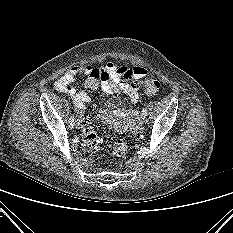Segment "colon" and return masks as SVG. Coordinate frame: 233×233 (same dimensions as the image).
Returning a JSON list of instances; mask_svg holds the SVG:
<instances>
[{"instance_id": "1", "label": "colon", "mask_w": 233, "mask_h": 233, "mask_svg": "<svg viewBox=\"0 0 233 233\" xmlns=\"http://www.w3.org/2000/svg\"><path fill=\"white\" fill-rule=\"evenodd\" d=\"M108 79L107 74L98 68H94L85 81V87L89 91L96 90L104 81ZM144 91L147 95H154L159 89V82L150 77L140 79ZM83 136L87 150L90 154L95 155L100 149V139L96 133L93 120L86 116L83 126ZM128 151V145L123 140H117L112 150V156L115 158L123 157Z\"/></svg>"}]
</instances>
